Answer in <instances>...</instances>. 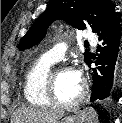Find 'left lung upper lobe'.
<instances>
[{
	"mask_svg": "<svg viewBox=\"0 0 122 123\" xmlns=\"http://www.w3.org/2000/svg\"><path fill=\"white\" fill-rule=\"evenodd\" d=\"M114 14L110 0H51L48 8L21 39L19 48L22 50L39 43L55 20H64L80 30L89 26L98 34ZM84 56L87 62L91 53L86 50Z\"/></svg>",
	"mask_w": 122,
	"mask_h": 123,
	"instance_id": "1",
	"label": "left lung upper lobe"
}]
</instances>
